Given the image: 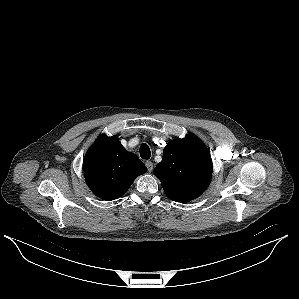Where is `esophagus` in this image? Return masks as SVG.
<instances>
[{"instance_id": "esophagus-1", "label": "esophagus", "mask_w": 299, "mask_h": 299, "mask_svg": "<svg viewBox=\"0 0 299 299\" xmlns=\"http://www.w3.org/2000/svg\"><path fill=\"white\" fill-rule=\"evenodd\" d=\"M145 165H146L147 170H148L149 172H151V171L153 170V163H152L151 161H146V162H145Z\"/></svg>"}]
</instances>
